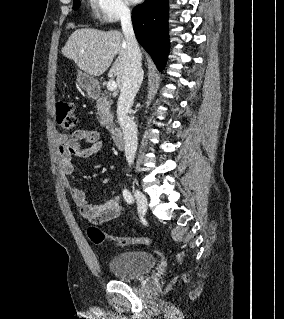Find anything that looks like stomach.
I'll return each instance as SVG.
<instances>
[{
  "label": "stomach",
  "mask_w": 284,
  "mask_h": 319,
  "mask_svg": "<svg viewBox=\"0 0 284 319\" xmlns=\"http://www.w3.org/2000/svg\"><path fill=\"white\" fill-rule=\"evenodd\" d=\"M77 82L81 89L86 91L88 94H91L97 87L98 82L94 77L84 73L79 72L77 75Z\"/></svg>",
  "instance_id": "stomach-1"
}]
</instances>
